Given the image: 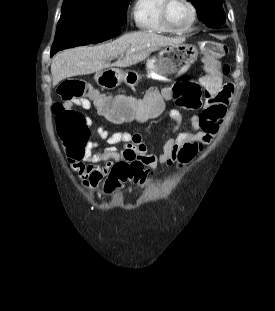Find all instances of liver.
Segmentation results:
<instances>
[{
    "label": "liver",
    "instance_id": "obj_1",
    "mask_svg": "<svg viewBox=\"0 0 275 311\" xmlns=\"http://www.w3.org/2000/svg\"><path fill=\"white\" fill-rule=\"evenodd\" d=\"M182 39L152 32L128 33L110 43L95 47H77L57 54L51 63L53 86L65 78L91 74L110 67L107 60L121 57L114 67L135 65L161 47L181 43Z\"/></svg>",
    "mask_w": 275,
    "mask_h": 311
}]
</instances>
